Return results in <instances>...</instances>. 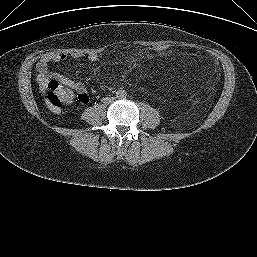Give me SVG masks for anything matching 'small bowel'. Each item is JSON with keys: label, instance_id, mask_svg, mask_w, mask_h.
<instances>
[{"label": "small bowel", "instance_id": "obj_1", "mask_svg": "<svg viewBox=\"0 0 257 257\" xmlns=\"http://www.w3.org/2000/svg\"><path fill=\"white\" fill-rule=\"evenodd\" d=\"M88 61L94 62L97 60V56L95 54L88 55ZM66 60V55L63 53H46L44 54L37 63V81L40 85L46 84L49 80L55 79L60 82L62 85L67 86L71 90L75 91L80 97L83 98L82 102L86 103L89 101V96L87 95L86 88L83 83L70 79L69 77L52 72L50 70V64L52 63H60ZM77 67H84L85 64L83 62L76 63Z\"/></svg>", "mask_w": 257, "mask_h": 257}]
</instances>
